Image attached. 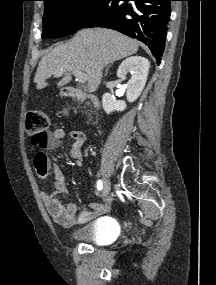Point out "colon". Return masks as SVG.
I'll list each match as a JSON object with an SVG mask.
<instances>
[{
    "label": "colon",
    "mask_w": 216,
    "mask_h": 285,
    "mask_svg": "<svg viewBox=\"0 0 216 285\" xmlns=\"http://www.w3.org/2000/svg\"><path fill=\"white\" fill-rule=\"evenodd\" d=\"M49 118L41 110H30L26 115L25 129L34 147L43 149L48 142Z\"/></svg>",
    "instance_id": "obj_1"
}]
</instances>
